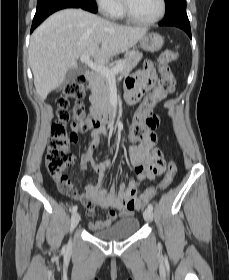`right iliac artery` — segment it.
Instances as JSON below:
<instances>
[{
    "instance_id": "82829eb1",
    "label": "right iliac artery",
    "mask_w": 229,
    "mask_h": 280,
    "mask_svg": "<svg viewBox=\"0 0 229 280\" xmlns=\"http://www.w3.org/2000/svg\"><path fill=\"white\" fill-rule=\"evenodd\" d=\"M78 207L76 205H74L71 209V212L72 213H75L77 211Z\"/></svg>"
}]
</instances>
